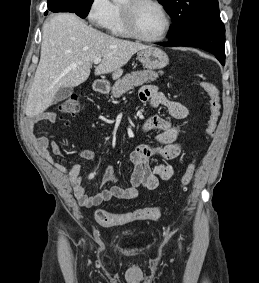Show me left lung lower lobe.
<instances>
[{"label": "left lung lower lobe", "instance_id": "left-lung-lower-lobe-1", "mask_svg": "<svg viewBox=\"0 0 259 283\" xmlns=\"http://www.w3.org/2000/svg\"><path fill=\"white\" fill-rule=\"evenodd\" d=\"M160 45L166 47L191 46L201 48L213 53L222 65L225 64V26L221 20L188 36L170 39L169 42Z\"/></svg>", "mask_w": 259, "mask_h": 283}]
</instances>
